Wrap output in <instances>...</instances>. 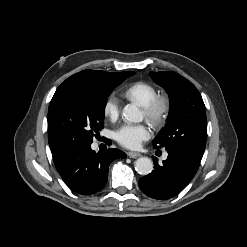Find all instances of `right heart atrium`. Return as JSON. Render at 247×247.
<instances>
[{
    "mask_svg": "<svg viewBox=\"0 0 247 247\" xmlns=\"http://www.w3.org/2000/svg\"><path fill=\"white\" fill-rule=\"evenodd\" d=\"M120 107L118 99L110 95L103 104V114L110 121H115L119 117Z\"/></svg>",
    "mask_w": 247,
    "mask_h": 247,
    "instance_id": "1",
    "label": "right heart atrium"
}]
</instances>
